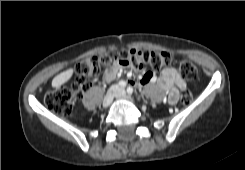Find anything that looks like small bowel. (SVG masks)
<instances>
[{
	"mask_svg": "<svg viewBox=\"0 0 245 170\" xmlns=\"http://www.w3.org/2000/svg\"><path fill=\"white\" fill-rule=\"evenodd\" d=\"M119 72L117 67H112L107 70L105 78L108 81L113 80ZM155 77L150 74H143L139 80V85L144 86L148 83L154 82ZM130 85H134L133 81H128ZM159 86L162 90L167 92V100L170 105H175L180 97V93L186 89V83L179 75L174 67L165 68L158 79Z\"/></svg>",
	"mask_w": 245,
	"mask_h": 170,
	"instance_id": "obj_1",
	"label": "small bowel"
}]
</instances>
